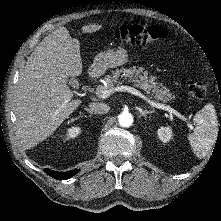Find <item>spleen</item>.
Instances as JSON below:
<instances>
[{
    "label": "spleen",
    "mask_w": 221,
    "mask_h": 221,
    "mask_svg": "<svg viewBox=\"0 0 221 221\" xmlns=\"http://www.w3.org/2000/svg\"><path fill=\"white\" fill-rule=\"evenodd\" d=\"M195 126L188 140L198 158L206 157L213 148L218 134V119L212 104L205 105L193 118Z\"/></svg>",
    "instance_id": "spleen-1"
}]
</instances>
